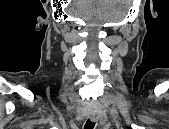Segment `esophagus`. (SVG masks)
<instances>
[{"mask_svg":"<svg viewBox=\"0 0 169 129\" xmlns=\"http://www.w3.org/2000/svg\"><path fill=\"white\" fill-rule=\"evenodd\" d=\"M91 120H92V121H96V119H95L94 117H91Z\"/></svg>","mask_w":169,"mask_h":129,"instance_id":"34e87169","label":"esophagus"}]
</instances>
